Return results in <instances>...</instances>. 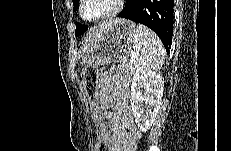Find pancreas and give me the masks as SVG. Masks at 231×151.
Listing matches in <instances>:
<instances>
[{"instance_id": "pancreas-1", "label": "pancreas", "mask_w": 231, "mask_h": 151, "mask_svg": "<svg viewBox=\"0 0 231 151\" xmlns=\"http://www.w3.org/2000/svg\"><path fill=\"white\" fill-rule=\"evenodd\" d=\"M122 70L129 76L133 75L136 68H137V64L133 61H130V62H123L122 63Z\"/></svg>"}]
</instances>
